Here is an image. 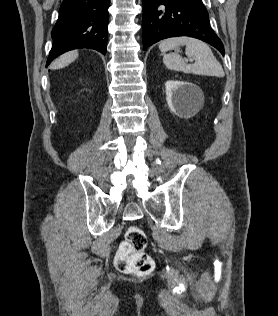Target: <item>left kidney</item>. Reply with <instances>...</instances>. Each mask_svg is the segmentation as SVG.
Masks as SVG:
<instances>
[{
    "label": "left kidney",
    "mask_w": 278,
    "mask_h": 316,
    "mask_svg": "<svg viewBox=\"0 0 278 316\" xmlns=\"http://www.w3.org/2000/svg\"><path fill=\"white\" fill-rule=\"evenodd\" d=\"M165 92L168 107L177 115L188 114L203 102L201 89L193 83L169 80L165 83Z\"/></svg>",
    "instance_id": "left-kidney-1"
}]
</instances>
